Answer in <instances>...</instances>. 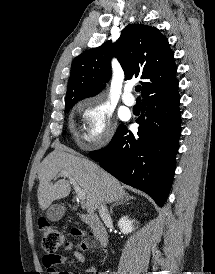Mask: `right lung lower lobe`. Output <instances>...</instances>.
<instances>
[{
	"mask_svg": "<svg viewBox=\"0 0 215 274\" xmlns=\"http://www.w3.org/2000/svg\"><path fill=\"white\" fill-rule=\"evenodd\" d=\"M179 101L178 85L144 97L138 133L120 125L108 146L90 154L118 180L146 192L159 207L166 202L176 167Z\"/></svg>",
	"mask_w": 215,
	"mask_h": 274,
	"instance_id": "obj_1",
	"label": "right lung lower lobe"
}]
</instances>
